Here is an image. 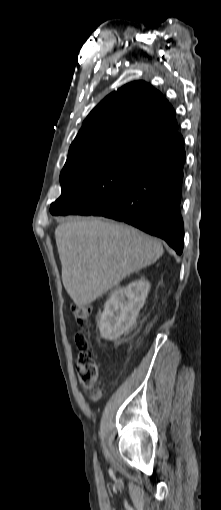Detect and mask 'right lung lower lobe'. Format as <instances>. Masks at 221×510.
I'll use <instances>...</instances> for the list:
<instances>
[{
  "mask_svg": "<svg viewBox=\"0 0 221 510\" xmlns=\"http://www.w3.org/2000/svg\"><path fill=\"white\" fill-rule=\"evenodd\" d=\"M184 162V139L179 136L152 149L125 191L114 201L89 210L77 208L70 214L98 215L126 222L162 238L181 254Z\"/></svg>",
  "mask_w": 221,
  "mask_h": 510,
  "instance_id": "98d812e1",
  "label": "right lung lower lobe"
}]
</instances>
